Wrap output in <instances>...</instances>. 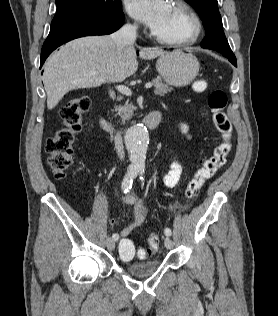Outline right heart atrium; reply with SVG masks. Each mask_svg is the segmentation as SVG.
<instances>
[{
    "mask_svg": "<svg viewBox=\"0 0 278 316\" xmlns=\"http://www.w3.org/2000/svg\"><path fill=\"white\" fill-rule=\"evenodd\" d=\"M129 27L133 29V28H135V25L134 24H130Z\"/></svg>",
    "mask_w": 278,
    "mask_h": 316,
    "instance_id": "d8ad5b80",
    "label": "right heart atrium"
}]
</instances>
